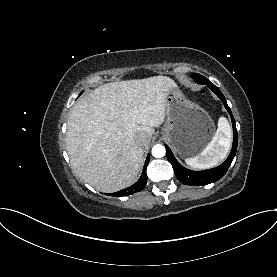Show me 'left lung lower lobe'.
I'll return each instance as SVG.
<instances>
[{"label": "left lung lower lobe", "mask_w": 277, "mask_h": 277, "mask_svg": "<svg viewBox=\"0 0 277 277\" xmlns=\"http://www.w3.org/2000/svg\"><path fill=\"white\" fill-rule=\"evenodd\" d=\"M197 83L206 84L222 100L225 108L227 109V111L231 116L234 138H233V147H232L231 153L229 157L226 159V161L216 168L204 170V171H191L184 168L177 162L171 150L168 147H166L167 159L172 164L176 177L183 184L192 185V186L206 185L209 183H213L219 180L220 178H222L223 175L228 170L236 154L237 143H238V135H237V129H236L234 117L232 115V112L229 106L227 105L225 97L223 96L219 88L216 87L214 84H212L208 79L198 80Z\"/></svg>", "instance_id": "obj_1"}]
</instances>
